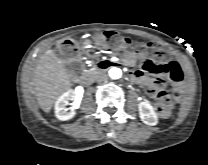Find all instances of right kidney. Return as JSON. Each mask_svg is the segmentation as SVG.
<instances>
[{"label": "right kidney", "mask_w": 208, "mask_h": 165, "mask_svg": "<svg viewBox=\"0 0 208 165\" xmlns=\"http://www.w3.org/2000/svg\"><path fill=\"white\" fill-rule=\"evenodd\" d=\"M83 88H76V90H68L64 94H62L57 101L55 102V115L59 120L66 121L74 117L76 112L71 109L68 110L66 106L69 101H73V105L75 108L80 106L82 96H83Z\"/></svg>", "instance_id": "ca27d5eb"}]
</instances>
